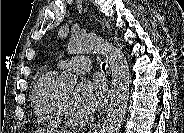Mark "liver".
<instances>
[{
	"label": "liver",
	"instance_id": "6515ba94",
	"mask_svg": "<svg viewBox=\"0 0 184 133\" xmlns=\"http://www.w3.org/2000/svg\"><path fill=\"white\" fill-rule=\"evenodd\" d=\"M36 133H65V130L58 131V130L40 129Z\"/></svg>",
	"mask_w": 184,
	"mask_h": 133
}]
</instances>
